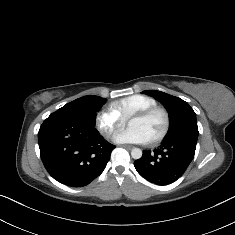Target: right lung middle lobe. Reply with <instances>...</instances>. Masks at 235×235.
I'll return each instance as SVG.
<instances>
[{
  "mask_svg": "<svg viewBox=\"0 0 235 235\" xmlns=\"http://www.w3.org/2000/svg\"><path fill=\"white\" fill-rule=\"evenodd\" d=\"M106 102L105 98L99 96H84L58 109L53 115H63L94 126L97 111Z\"/></svg>",
  "mask_w": 235,
  "mask_h": 235,
  "instance_id": "right-lung-middle-lobe-1",
  "label": "right lung middle lobe"
}]
</instances>
